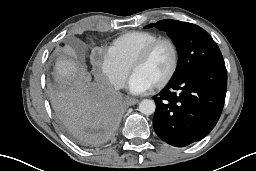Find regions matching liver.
Instances as JSON below:
<instances>
[{"label": "liver", "instance_id": "liver-1", "mask_svg": "<svg viewBox=\"0 0 256 171\" xmlns=\"http://www.w3.org/2000/svg\"><path fill=\"white\" fill-rule=\"evenodd\" d=\"M80 73L77 61L69 57H61L55 64L56 81L71 79Z\"/></svg>", "mask_w": 256, "mask_h": 171}]
</instances>
